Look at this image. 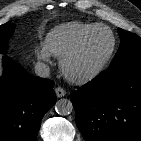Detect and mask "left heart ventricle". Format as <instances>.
Masks as SVG:
<instances>
[{"label":"left heart ventricle","instance_id":"1","mask_svg":"<svg viewBox=\"0 0 141 141\" xmlns=\"http://www.w3.org/2000/svg\"><path fill=\"white\" fill-rule=\"evenodd\" d=\"M111 43V35L107 30L94 31L87 38L78 54L71 60L69 64L71 72L80 74L94 68L107 55Z\"/></svg>","mask_w":141,"mask_h":141}]
</instances>
